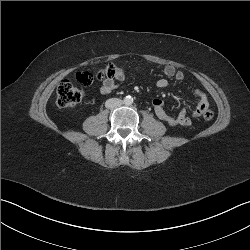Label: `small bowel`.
<instances>
[{
    "instance_id": "small-bowel-1",
    "label": "small bowel",
    "mask_w": 250,
    "mask_h": 250,
    "mask_svg": "<svg viewBox=\"0 0 250 250\" xmlns=\"http://www.w3.org/2000/svg\"><path fill=\"white\" fill-rule=\"evenodd\" d=\"M165 78H160L156 85L158 88H166L170 85L169 79L173 78L177 82L181 83L184 80V73L177 70L172 65L164 67ZM124 75L119 74L113 78L103 79L100 87L102 94H109L118 87V84L123 81ZM194 95L198 98L196 105L190 108H183L177 115H170L164 109V103L160 98L153 100V109L156 116L169 126H189L193 120L202 115L204 110L210 109V102L207 95L200 89H194Z\"/></svg>"
}]
</instances>
